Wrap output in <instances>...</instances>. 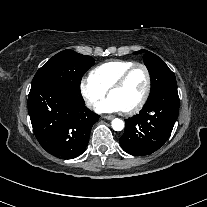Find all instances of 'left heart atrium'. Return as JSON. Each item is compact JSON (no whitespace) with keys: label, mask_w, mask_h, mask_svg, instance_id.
<instances>
[{"label":"left heart atrium","mask_w":207,"mask_h":207,"mask_svg":"<svg viewBox=\"0 0 207 207\" xmlns=\"http://www.w3.org/2000/svg\"><path fill=\"white\" fill-rule=\"evenodd\" d=\"M96 110L100 113H114L122 111V108L113 97L109 96L97 105Z\"/></svg>","instance_id":"left-heart-atrium-1"}]
</instances>
